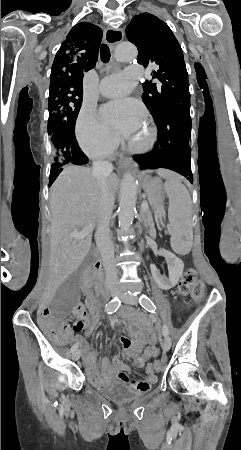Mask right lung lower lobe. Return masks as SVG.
Masks as SVG:
<instances>
[{
	"label": "right lung lower lobe",
	"instance_id": "obj_1",
	"mask_svg": "<svg viewBox=\"0 0 241 450\" xmlns=\"http://www.w3.org/2000/svg\"><path fill=\"white\" fill-rule=\"evenodd\" d=\"M64 136L67 145L69 147V155H70V163L75 165H83L88 163L87 156L81 151V149L78 146V143L76 141L74 132H64L62 133ZM62 171V169H57L55 171L50 172V182L49 186L55 181L59 173Z\"/></svg>",
	"mask_w": 241,
	"mask_h": 450
}]
</instances>
